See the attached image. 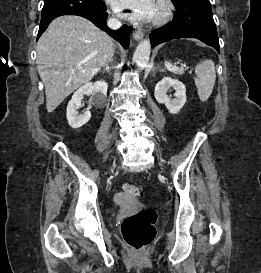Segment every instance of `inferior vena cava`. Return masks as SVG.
<instances>
[{"label": "inferior vena cava", "instance_id": "1", "mask_svg": "<svg viewBox=\"0 0 261 273\" xmlns=\"http://www.w3.org/2000/svg\"><path fill=\"white\" fill-rule=\"evenodd\" d=\"M107 25L109 28L116 30L121 27V22L118 18L112 16L107 20Z\"/></svg>", "mask_w": 261, "mask_h": 273}]
</instances>
